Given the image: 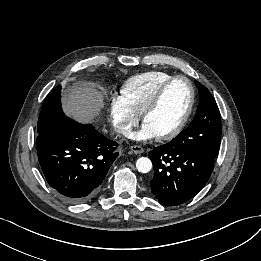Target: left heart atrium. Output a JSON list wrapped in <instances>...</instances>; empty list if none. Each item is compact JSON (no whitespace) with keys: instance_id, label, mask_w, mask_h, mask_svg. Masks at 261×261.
<instances>
[{"instance_id":"1","label":"left heart atrium","mask_w":261,"mask_h":261,"mask_svg":"<svg viewBox=\"0 0 261 261\" xmlns=\"http://www.w3.org/2000/svg\"><path fill=\"white\" fill-rule=\"evenodd\" d=\"M157 137L153 130L146 124L142 128L133 134V138L137 140H149Z\"/></svg>"}]
</instances>
